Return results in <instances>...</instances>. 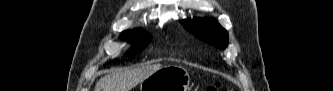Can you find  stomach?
<instances>
[{"mask_svg": "<svg viewBox=\"0 0 333 91\" xmlns=\"http://www.w3.org/2000/svg\"><path fill=\"white\" fill-rule=\"evenodd\" d=\"M189 84L190 77L185 68L169 65L144 79L140 91H189Z\"/></svg>", "mask_w": 333, "mask_h": 91, "instance_id": "0dacf381", "label": "stomach"}]
</instances>
